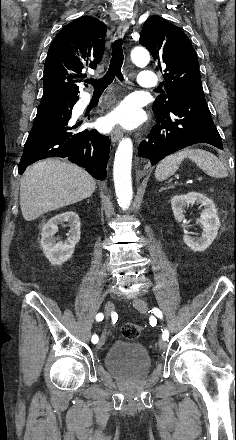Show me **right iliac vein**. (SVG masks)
<instances>
[{
  "label": "right iliac vein",
  "mask_w": 236,
  "mask_h": 440,
  "mask_svg": "<svg viewBox=\"0 0 236 440\" xmlns=\"http://www.w3.org/2000/svg\"><path fill=\"white\" fill-rule=\"evenodd\" d=\"M114 308H115V306H114V303L112 301H108L105 304V315H106V317L110 316V314L113 312ZM104 342H105V332L100 337V340L98 342V347L99 348L102 347Z\"/></svg>",
  "instance_id": "right-iliac-vein-1"
}]
</instances>
